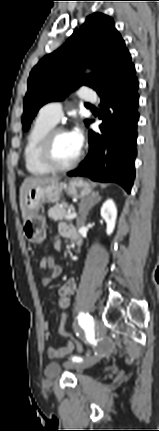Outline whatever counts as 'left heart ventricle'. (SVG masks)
<instances>
[{"label":"left heart ventricle","instance_id":"b2bd125f","mask_svg":"<svg viewBox=\"0 0 159 431\" xmlns=\"http://www.w3.org/2000/svg\"><path fill=\"white\" fill-rule=\"evenodd\" d=\"M79 150L72 143L67 132L56 136L53 146L55 160L62 165L69 164L78 155Z\"/></svg>","mask_w":159,"mask_h":431}]
</instances>
